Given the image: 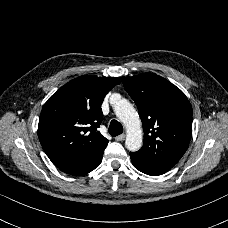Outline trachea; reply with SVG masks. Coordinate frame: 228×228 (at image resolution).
Returning a JSON list of instances; mask_svg holds the SVG:
<instances>
[{"mask_svg":"<svg viewBox=\"0 0 228 228\" xmlns=\"http://www.w3.org/2000/svg\"><path fill=\"white\" fill-rule=\"evenodd\" d=\"M123 132L121 123L117 120H112L109 125V134L113 137L120 135Z\"/></svg>","mask_w":228,"mask_h":228,"instance_id":"3493384b","label":"trachea"}]
</instances>
